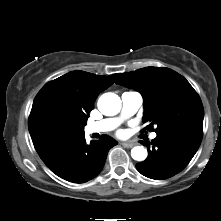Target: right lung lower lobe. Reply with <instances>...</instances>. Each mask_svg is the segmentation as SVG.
<instances>
[{
	"label": "right lung lower lobe",
	"instance_id": "98d812e1",
	"mask_svg": "<svg viewBox=\"0 0 221 221\" xmlns=\"http://www.w3.org/2000/svg\"><path fill=\"white\" fill-rule=\"evenodd\" d=\"M117 142L102 135L86 143L85 134L63 136L44 140L34 145L46 166L57 176L73 183H84L102 170L107 153Z\"/></svg>",
	"mask_w": 221,
	"mask_h": 221
}]
</instances>
